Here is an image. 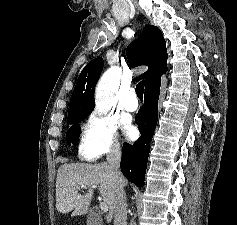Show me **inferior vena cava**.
<instances>
[{
  "instance_id": "obj_1",
  "label": "inferior vena cava",
  "mask_w": 237,
  "mask_h": 225,
  "mask_svg": "<svg viewBox=\"0 0 237 225\" xmlns=\"http://www.w3.org/2000/svg\"><path fill=\"white\" fill-rule=\"evenodd\" d=\"M106 159L108 168L113 176L116 186L114 225H127V202L124 191L125 179L120 171L121 151L119 143L111 145Z\"/></svg>"
}]
</instances>
